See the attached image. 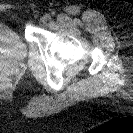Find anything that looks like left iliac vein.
Wrapping results in <instances>:
<instances>
[{
	"instance_id": "left-iliac-vein-1",
	"label": "left iliac vein",
	"mask_w": 133,
	"mask_h": 133,
	"mask_svg": "<svg viewBox=\"0 0 133 133\" xmlns=\"http://www.w3.org/2000/svg\"><path fill=\"white\" fill-rule=\"evenodd\" d=\"M50 19V16L49 15H44V16H42L41 18H40V24L41 25H45L47 22H48V20Z\"/></svg>"
}]
</instances>
